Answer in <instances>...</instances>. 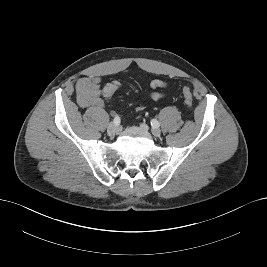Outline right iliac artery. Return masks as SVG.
<instances>
[{"label":"right iliac artery","mask_w":267,"mask_h":267,"mask_svg":"<svg viewBox=\"0 0 267 267\" xmlns=\"http://www.w3.org/2000/svg\"><path fill=\"white\" fill-rule=\"evenodd\" d=\"M116 125H118L120 123V117L118 115H116L114 117V121H113Z\"/></svg>","instance_id":"82829eb1"}]
</instances>
